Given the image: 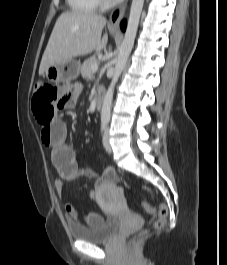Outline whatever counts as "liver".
<instances>
[{"instance_id":"1","label":"liver","mask_w":227,"mask_h":265,"mask_svg":"<svg viewBox=\"0 0 227 265\" xmlns=\"http://www.w3.org/2000/svg\"><path fill=\"white\" fill-rule=\"evenodd\" d=\"M106 19L90 12L62 13L53 28L42 56L39 74L43 75L52 65L72 60L74 57L100 52L107 44L108 36L101 38Z\"/></svg>"}]
</instances>
